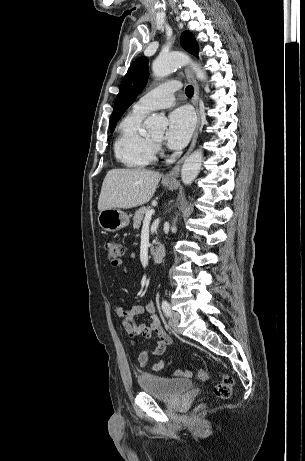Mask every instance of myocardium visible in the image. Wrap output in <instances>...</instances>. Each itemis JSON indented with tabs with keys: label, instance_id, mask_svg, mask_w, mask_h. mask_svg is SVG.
<instances>
[{
	"label": "myocardium",
	"instance_id": "1",
	"mask_svg": "<svg viewBox=\"0 0 305 461\" xmlns=\"http://www.w3.org/2000/svg\"><path fill=\"white\" fill-rule=\"evenodd\" d=\"M151 142H152V144L155 146L156 149H157V148L159 147V145H160L159 142H156V141H154L153 139H151Z\"/></svg>",
	"mask_w": 305,
	"mask_h": 461
}]
</instances>
